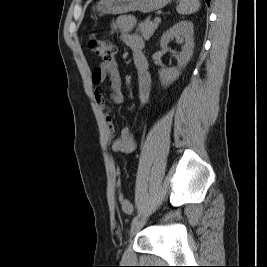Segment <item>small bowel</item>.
<instances>
[{"label":"small bowel","mask_w":267,"mask_h":267,"mask_svg":"<svg viewBox=\"0 0 267 267\" xmlns=\"http://www.w3.org/2000/svg\"><path fill=\"white\" fill-rule=\"evenodd\" d=\"M134 24L135 19L132 16L122 15L115 20L113 26L123 34V41L133 52L134 65L138 71L139 99L141 105H144L151 90V75L148 72L147 58L143 53L144 41L139 35L132 33ZM92 81L97 86L94 91L95 101L104 112L109 136L113 137L115 133L113 117L110 114L106 97L99 87L108 81L110 98L113 103L121 104L123 102L121 76L117 62H104L95 67L92 71ZM135 146L133 131L129 126L124 127L119 137L114 139L111 144L112 151L116 153H131Z\"/></svg>","instance_id":"c3829d8e"}]
</instances>
